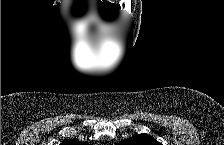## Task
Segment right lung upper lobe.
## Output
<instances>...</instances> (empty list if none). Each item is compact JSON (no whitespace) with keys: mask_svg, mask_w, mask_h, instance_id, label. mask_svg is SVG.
Returning <instances> with one entry per match:
<instances>
[{"mask_svg":"<svg viewBox=\"0 0 224 145\" xmlns=\"http://www.w3.org/2000/svg\"><path fill=\"white\" fill-rule=\"evenodd\" d=\"M87 142H77V141H73V140H66L64 141L61 145H87Z\"/></svg>","mask_w":224,"mask_h":145,"instance_id":"right-lung-upper-lobe-1","label":"right lung upper lobe"}]
</instances>
